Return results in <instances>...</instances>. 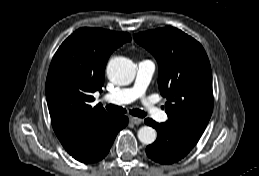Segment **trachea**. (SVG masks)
I'll return each mask as SVG.
<instances>
[{
    "label": "trachea",
    "mask_w": 259,
    "mask_h": 176,
    "mask_svg": "<svg viewBox=\"0 0 259 176\" xmlns=\"http://www.w3.org/2000/svg\"><path fill=\"white\" fill-rule=\"evenodd\" d=\"M106 109L109 112H113V113H126V110L122 107L119 106H115L112 104H109L106 106ZM130 114H132L133 116H137V117H145L146 113L143 110H139V109H133L130 110Z\"/></svg>",
    "instance_id": "obj_1"
}]
</instances>
